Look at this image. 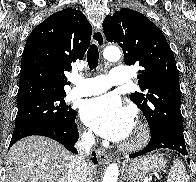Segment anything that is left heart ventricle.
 Returning a JSON list of instances; mask_svg holds the SVG:
<instances>
[{
	"label": "left heart ventricle",
	"instance_id": "left-heart-ventricle-1",
	"mask_svg": "<svg viewBox=\"0 0 196 182\" xmlns=\"http://www.w3.org/2000/svg\"><path fill=\"white\" fill-rule=\"evenodd\" d=\"M133 133L130 135L129 139L132 137Z\"/></svg>",
	"mask_w": 196,
	"mask_h": 182
}]
</instances>
